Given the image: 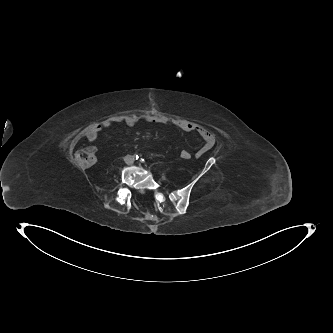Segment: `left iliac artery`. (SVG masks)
<instances>
[{
    "mask_svg": "<svg viewBox=\"0 0 333 333\" xmlns=\"http://www.w3.org/2000/svg\"><path fill=\"white\" fill-rule=\"evenodd\" d=\"M141 161H143V162H144V159H142V158H141Z\"/></svg>",
    "mask_w": 333,
    "mask_h": 333,
    "instance_id": "obj_1",
    "label": "left iliac artery"
}]
</instances>
